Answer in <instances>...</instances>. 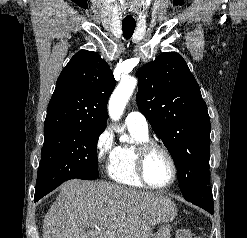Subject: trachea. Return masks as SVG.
I'll list each match as a JSON object with an SVG mask.
<instances>
[{
  "label": "trachea",
  "mask_w": 247,
  "mask_h": 238,
  "mask_svg": "<svg viewBox=\"0 0 247 238\" xmlns=\"http://www.w3.org/2000/svg\"><path fill=\"white\" fill-rule=\"evenodd\" d=\"M136 27L135 21H122V29H123V37L125 39H129L132 37L134 33V29Z\"/></svg>",
  "instance_id": "obj_1"
}]
</instances>
